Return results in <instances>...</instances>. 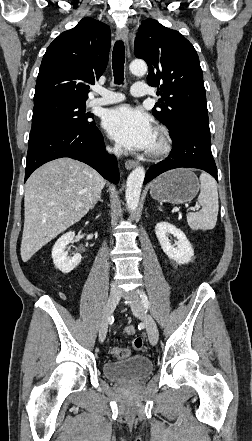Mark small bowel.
I'll return each mask as SVG.
<instances>
[{
	"label": "small bowel",
	"mask_w": 252,
	"mask_h": 441,
	"mask_svg": "<svg viewBox=\"0 0 252 441\" xmlns=\"http://www.w3.org/2000/svg\"><path fill=\"white\" fill-rule=\"evenodd\" d=\"M124 333L126 334H132L134 333V328L132 326H127L124 328Z\"/></svg>",
	"instance_id": "1"
}]
</instances>
